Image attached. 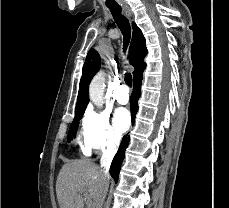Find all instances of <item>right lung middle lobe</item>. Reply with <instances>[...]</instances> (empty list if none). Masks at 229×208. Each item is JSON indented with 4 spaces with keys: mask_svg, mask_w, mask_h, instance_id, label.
I'll return each instance as SVG.
<instances>
[{
    "mask_svg": "<svg viewBox=\"0 0 229 208\" xmlns=\"http://www.w3.org/2000/svg\"><path fill=\"white\" fill-rule=\"evenodd\" d=\"M79 120L73 121V123L70 126V130L68 133V140H71L72 138H75L76 136V132H77V128L79 126Z\"/></svg>",
    "mask_w": 229,
    "mask_h": 208,
    "instance_id": "right-lung-middle-lobe-1",
    "label": "right lung middle lobe"
}]
</instances>
